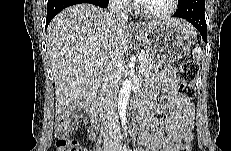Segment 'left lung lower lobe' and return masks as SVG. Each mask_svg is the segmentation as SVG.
Returning a JSON list of instances; mask_svg holds the SVG:
<instances>
[{
	"mask_svg": "<svg viewBox=\"0 0 231 151\" xmlns=\"http://www.w3.org/2000/svg\"><path fill=\"white\" fill-rule=\"evenodd\" d=\"M205 0H183L173 17L184 18L192 23L206 42Z\"/></svg>",
	"mask_w": 231,
	"mask_h": 151,
	"instance_id": "0a47b994",
	"label": "left lung lower lobe"
}]
</instances>
